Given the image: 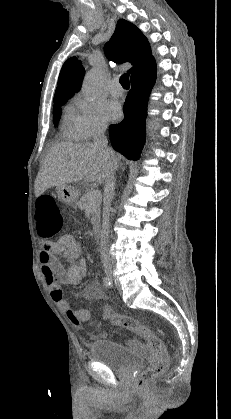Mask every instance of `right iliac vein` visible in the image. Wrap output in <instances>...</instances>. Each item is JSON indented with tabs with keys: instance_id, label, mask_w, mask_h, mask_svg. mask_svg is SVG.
I'll list each match as a JSON object with an SVG mask.
<instances>
[{
	"instance_id": "63e3f726",
	"label": "right iliac vein",
	"mask_w": 231,
	"mask_h": 419,
	"mask_svg": "<svg viewBox=\"0 0 231 419\" xmlns=\"http://www.w3.org/2000/svg\"><path fill=\"white\" fill-rule=\"evenodd\" d=\"M107 276L111 277V269H106Z\"/></svg>"
}]
</instances>
